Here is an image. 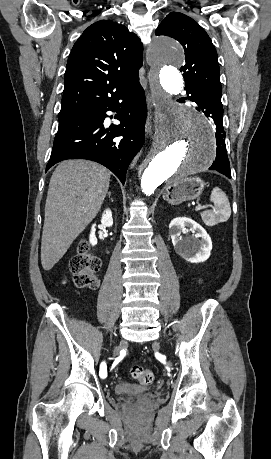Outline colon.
<instances>
[{
  "label": "colon",
  "mask_w": 271,
  "mask_h": 459,
  "mask_svg": "<svg viewBox=\"0 0 271 459\" xmlns=\"http://www.w3.org/2000/svg\"><path fill=\"white\" fill-rule=\"evenodd\" d=\"M71 1L75 4L79 2V0ZM100 264V260L93 254L90 244L86 240L80 241L76 254L69 262L74 284L81 289L97 288L98 278L96 273L100 268ZM130 374L143 385L148 386L154 382L153 372L140 365H134L130 369Z\"/></svg>",
  "instance_id": "colon-1"
}]
</instances>
